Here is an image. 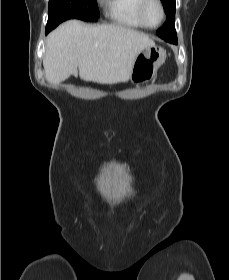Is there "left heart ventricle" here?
Returning <instances> with one entry per match:
<instances>
[{
  "label": "left heart ventricle",
  "instance_id": "b2bd125f",
  "mask_svg": "<svg viewBox=\"0 0 229 280\" xmlns=\"http://www.w3.org/2000/svg\"><path fill=\"white\" fill-rule=\"evenodd\" d=\"M161 17V12L156 4H151L146 10V20L150 25L158 24Z\"/></svg>",
  "mask_w": 229,
  "mask_h": 280
}]
</instances>
